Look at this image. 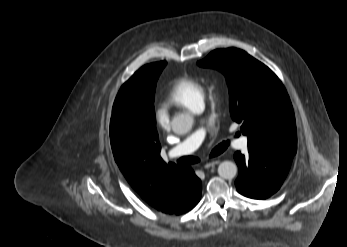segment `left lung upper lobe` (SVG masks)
<instances>
[{"mask_svg":"<svg viewBox=\"0 0 347 247\" xmlns=\"http://www.w3.org/2000/svg\"><path fill=\"white\" fill-rule=\"evenodd\" d=\"M198 65L225 75L231 117L242 123L248 148L296 153V124L289 96L266 65L236 48L214 50Z\"/></svg>","mask_w":347,"mask_h":247,"instance_id":"1","label":"left lung upper lobe"}]
</instances>
